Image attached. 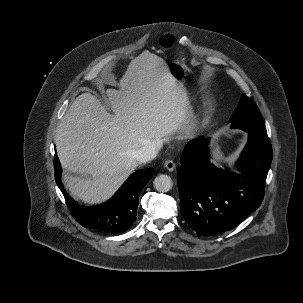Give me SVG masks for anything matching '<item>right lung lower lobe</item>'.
<instances>
[{"label":"right lung lower lobe","mask_w":303,"mask_h":303,"mask_svg":"<svg viewBox=\"0 0 303 303\" xmlns=\"http://www.w3.org/2000/svg\"><path fill=\"white\" fill-rule=\"evenodd\" d=\"M61 172V164L55 154V181L76 221L87 228L116 234L129 229L136 220L140 192L152 178L154 169L147 168L133 173L109 201L99 206L78 205L63 188Z\"/></svg>","instance_id":"98d812e1"}]
</instances>
